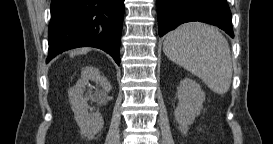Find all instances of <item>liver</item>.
<instances>
[{
    "label": "liver",
    "instance_id": "1",
    "mask_svg": "<svg viewBox=\"0 0 273 144\" xmlns=\"http://www.w3.org/2000/svg\"><path fill=\"white\" fill-rule=\"evenodd\" d=\"M89 48H81V49H76L74 51L71 52V55H78V54H85L89 51Z\"/></svg>",
    "mask_w": 273,
    "mask_h": 144
}]
</instances>
